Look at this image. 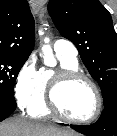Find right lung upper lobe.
Listing matches in <instances>:
<instances>
[{"instance_id": "right-lung-upper-lobe-1", "label": "right lung upper lobe", "mask_w": 117, "mask_h": 136, "mask_svg": "<svg viewBox=\"0 0 117 136\" xmlns=\"http://www.w3.org/2000/svg\"><path fill=\"white\" fill-rule=\"evenodd\" d=\"M34 42V19L27 0H0V55L28 58Z\"/></svg>"}]
</instances>
